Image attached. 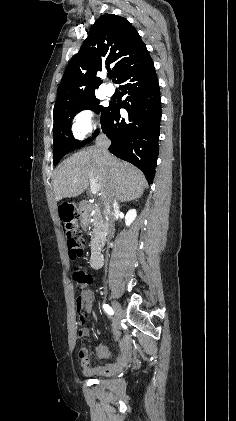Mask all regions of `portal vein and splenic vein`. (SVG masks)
<instances>
[{
  "label": "portal vein and splenic vein",
  "instance_id": "1",
  "mask_svg": "<svg viewBox=\"0 0 236 421\" xmlns=\"http://www.w3.org/2000/svg\"><path fill=\"white\" fill-rule=\"evenodd\" d=\"M89 182L91 184V192L92 194H97L100 190V186L98 182H96L95 178H89Z\"/></svg>",
  "mask_w": 236,
  "mask_h": 421
}]
</instances>
